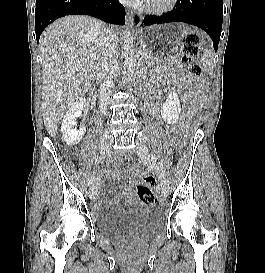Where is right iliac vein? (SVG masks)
<instances>
[{"label": "right iliac vein", "mask_w": 265, "mask_h": 273, "mask_svg": "<svg viewBox=\"0 0 265 273\" xmlns=\"http://www.w3.org/2000/svg\"><path fill=\"white\" fill-rule=\"evenodd\" d=\"M112 143H113V137L110 134H104L101 139V143L99 147L100 154L104 155L106 151L110 148ZM97 188H98L97 183H95L94 185L90 187L88 192L89 199L93 200L95 198Z\"/></svg>", "instance_id": "right-iliac-vein-1"}]
</instances>
